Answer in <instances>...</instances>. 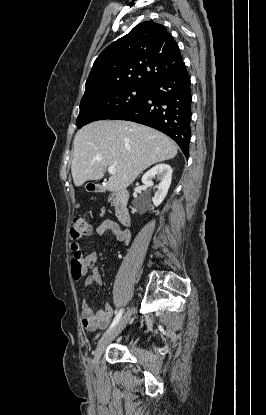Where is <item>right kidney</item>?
<instances>
[{
	"label": "right kidney",
	"mask_w": 266,
	"mask_h": 415,
	"mask_svg": "<svg viewBox=\"0 0 266 415\" xmlns=\"http://www.w3.org/2000/svg\"><path fill=\"white\" fill-rule=\"evenodd\" d=\"M160 180L156 186L157 191L152 199L154 206H159L168 193L172 179V168L167 164H158L147 171L142 177V183L146 186H153V180Z\"/></svg>",
	"instance_id": "ca27d5eb"
}]
</instances>
